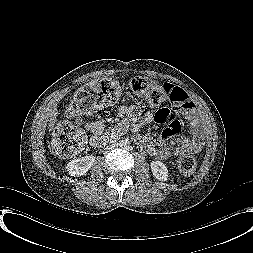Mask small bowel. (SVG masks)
<instances>
[{
    "mask_svg": "<svg viewBox=\"0 0 253 253\" xmlns=\"http://www.w3.org/2000/svg\"><path fill=\"white\" fill-rule=\"evenodd\" d=\"M174 104L178 105L179 113L191 124V138H178L180 124L174 118V114L168 109H161L156 114V120L159 123L167 124V127L160 135L147 134L143 138V143L149 155L159 159L167 160L171 157L184 154H194L201 150L203 146V131L199 122L198 112L195 104L189 95L181 88L174 87ZM120 113L131 117L138 115V109L135 106H121ZM152 116L147 114L146 121H150ZM84 129L91 133L90 143L98 147L109 138V132L105 130L101 121H90L83 123Z\"/></svg>",
    "mask_w": 253,
    "mask_h": 253,
    "instance_id": "small-bowel-1",
    "label": "small bowel"
}]
</instances>
